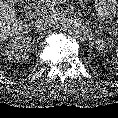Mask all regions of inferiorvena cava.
Listing matches in <instances>:
<instances>
[{
    "instance_id": "obj_1",
    "label": "inferior vena cava",
    "mask_w": 118,
    "mask_h": 118,
    "mask_svg": "<svg viewBox=\"0 0 118 118\" xmlns=\"http://www.w3.org/2000/svg\"><path fill=\"white\" fill-rule=\"evenodd\" d=\"M54 23V18L45 14L37 19L35 26L39 30H46Z\"/></svg>"
}]
</instances>
